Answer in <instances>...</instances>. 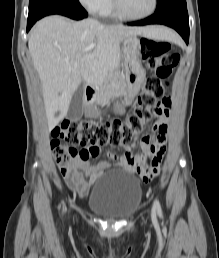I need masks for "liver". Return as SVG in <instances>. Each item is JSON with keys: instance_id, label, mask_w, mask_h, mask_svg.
<instances>
[{"instance_id": "6515ba94", "label": "liver", "mask_w": 219, "mask_h": 258, "mask_svg": "<svg viewBox=\"0 0 219 258\" xmlns=\"http://www.w3.org/2000/svg\"><path fill=\"white\" fill-rule=\"evenodd\" d=\"M165 31L155 26L103 25L94 19L73 22L59 15L37 22L30 32L28 47L41 81L49 127L67 115L71 98L82 81L100 86L107 73L118 67L124 38L142 35L168 39ZM169 35L175 38L173 33ZM92 43H96L95 49L85 52Z\"/></svg>"}]
</instances>
